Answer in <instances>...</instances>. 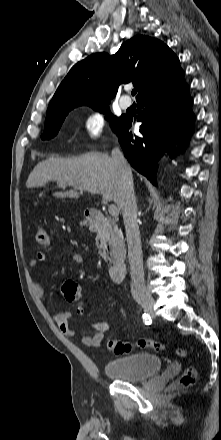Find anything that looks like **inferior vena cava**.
Here are the masks:
<instances>
[{"label":"inferior vena cava","instance_id":"602c4592","mask_svg":"<svg viewBox=\"0 0 221 440\" xmlns=\"http://www.w3.org/2000/svg\"><path fill=\"white\" fill-rule=\"evenodd\" d=\"M120 176V203L127 236L128 258L131 268V287L137 295L144 293V271L140 232L137 224V205L131 168L119 148L111 152Z\"/></svg>","mask_w":221,"mask_h":440}]
</instances>
